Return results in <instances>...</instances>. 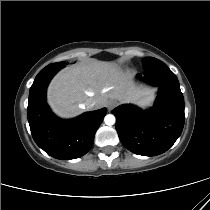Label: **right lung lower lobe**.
I'll use <instances>...</instances> for the list:
<instances>
[{
  "mask_svg": "<svg viewBox=\"0 0 210 210\" xmlns=\"http://www.w3.org/2000/svg\"><path fill=\"white\" fill-rule=\"evenodd\" d=\"M64 66L53 63L38 73L30 88L27 115L36 144L56 159L69 160L89 151L107 109L87 112L72 120L57 118L46 103V88Z\"/></svg>",
  "mask_w": 210,
  "mask_h": 210,
  "instance_id": "1",
  "label": "right lung lower lobe"
}]
</instances>
